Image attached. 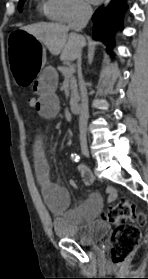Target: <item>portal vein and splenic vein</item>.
<instances>
[{"label":"portal vein and splenic vein","mask_w":148,"mask_h":279,"mask_svg":"<svg viewBox=\"0 0 148 279\" xmlns=\"http://www.w3.org/2000/svg\"><path fill=\"white\" fill-rule=\"evenodd\" d=\"M75 71V69H74V67L73 66H71V67H69V70H68V74H70V73H73Z\"/></svg>","instance_id":"1"}]
</instances>
